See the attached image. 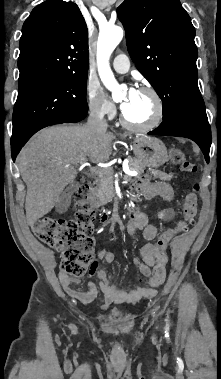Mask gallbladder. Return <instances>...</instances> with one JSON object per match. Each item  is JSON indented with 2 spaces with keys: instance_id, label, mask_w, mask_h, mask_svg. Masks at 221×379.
Returning a JSON list of instances; mask_svg holds the SVG:
<instances>
[{
  "instance_id": "1",
  "label": "gallbladder",
  "mask_w": 221,
  "mask_h": 379,
  "mask_svg": "<svg viewBox=\"0 0 221 379\" xmlns=\"http://www.w3.org/2000/svg\"><path fill=\"white\" fill-rule=\"evenodd\" d=\"M78 183L77 182H71L67 185V187L64 189V191L60 194L57 202H56V212L62 214L65 213L70 204H71V198L74 192L78 189Z\"/></svg>"
}]
</instances>
